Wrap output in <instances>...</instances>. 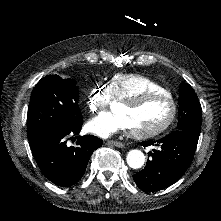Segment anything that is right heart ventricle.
Wrapping results in <instances>:
<instances>
[{"label": "right heart ventricle", "mask_w": 221, "mask_h": 221, "mask_svg": "<svg viewBox=\"0 0 221 221\" xmlns=\"http://www.w3.org/2000/svg\"><path fill=\"white\" fill-rule=\"evenodd\" d=\"M121 84L120 94L122 99L130 100L132 97L139 98L140 96L152 95L158 89H160L161 95H169L168 87L146 76H126L122 79Z\"/></svg>", "instance_id": "e07e8e85"}]
</instances>
